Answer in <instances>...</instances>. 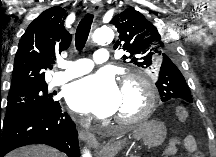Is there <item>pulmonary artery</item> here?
Segmentation results:
<instances>
[{
	"instance_id": "e3ab8cb5",
	"label": "pulmonary artery",
	"mask_w": 216,
	"mask_h": 157,
	"mask_svg": "<svg viewBox=\"0 0 216 157\" xmlns=\"http://www.w3.org/2000/svg\"><path fill=\"white\" fill-rule=\"evenodd\" d=\"M109 60V52L105 48L96 50L90 58H81L74 61H67L62 68L63 71L53 75L51 85L57 86L64 84L76 77L84 75L92 70L94 64L106 63Z\"/></svg>"
}]
</instances>
